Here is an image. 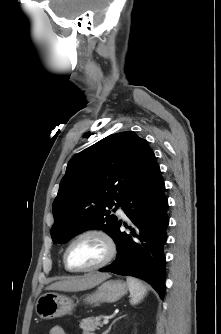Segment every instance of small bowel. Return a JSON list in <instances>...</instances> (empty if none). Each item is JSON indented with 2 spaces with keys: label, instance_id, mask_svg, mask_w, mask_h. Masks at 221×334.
Returning a JSON list of instances; mask_svg holds the SVG:
<instances>
[{
  "label": "small bowel",
  "instance_id": "1",
  "mask_svg": "<svg viewBox=\"0 0 221 334\" xmlns=\"http://www.w3.org/2000/svg\"><path fill=\"white\" fill-rule=\"evenodd\" d=\"M49 334H67V333L61 326L55 325L50 328ZM83 334H94V333L84 332Z\"/></svg>",
  "mask_w": 221,
  "mask_h": 334
}]
</instances>
